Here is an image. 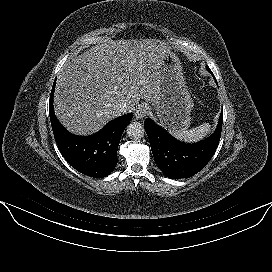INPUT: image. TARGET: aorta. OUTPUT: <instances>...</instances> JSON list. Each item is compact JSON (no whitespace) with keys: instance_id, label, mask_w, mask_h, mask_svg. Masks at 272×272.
Listing matches in <instances>:
<instances>
[{"instance_id":"aorta-1","label":"aorta","mask_w":272,"mask_h":272,"mask_svg":"<svg viewBox=\"0 0 272 272\" xmlns=\"http://www.w3.org/2000/svg\"><path fill=\"white\" fill-rule=\"evenodd\" d=\"M145 134L144 127L139 122H131L127 126V135L133 140L141 139Z\"/></svg>"}]
</instances>
